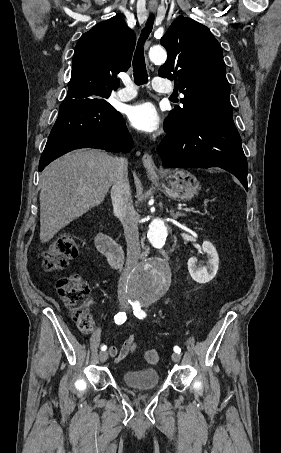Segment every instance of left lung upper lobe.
<instances>
[{
  "label": "left lung upper lobe",
  "mask_w": 281,
  "mask_h": 453,
  "mask_svg": "<svg viewBox=\"0 0 281 453\" xmlns=\"http://www.w3.org/2000/svg\"><path fill=\"white\" fill-rule=\"evenodd\" d=\"M161 45L168 58L159 76L174 80L184 94L183 107L176 106L164 122L166 132L195 118L232 113L222 49L206 26L179 16L161 38Z\"/></svg>",
  "instance_id": "left-lung-upper-lobe-1"
}]
</instances>
